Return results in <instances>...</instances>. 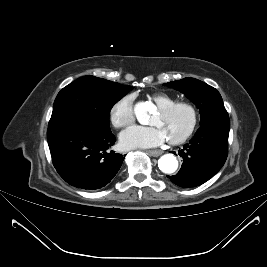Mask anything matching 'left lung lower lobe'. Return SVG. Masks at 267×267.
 Instances as JSON below:
<instances>
[{"instance_id":"obj_1","label":"left lung lower lobe","mask_w":267,"mask_h":267,"mask_svg":"<svg viewBox=\"0 0 267 267\" xmlns=\"http://www.w3.org/2000/svg\"><path fill=\"white\" fill-rule=\"evenodd\" d=\"M229 127V122L201 125L190 143L179 150L183 158L180 171L167 177L184 188L201 185L213 177L227 158Z\"/></svg>"}]
</instances>
